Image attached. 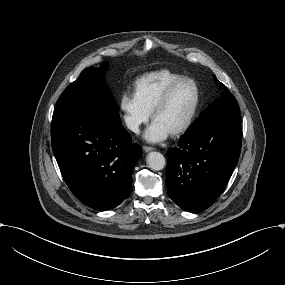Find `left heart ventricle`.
<instances>
[{
    "mask_svg": "<svg viewBox=\"0 0 285 285\" xmlns=\"http://www.w3.org/2000/svg\"><path fill=\"white\" fill-rule=\"evenodd\" d=\"M195 101L194 85L191 82H184L175 89L168 103L155 114L154 119L172 131L188 118Z\"/></svg>",
    "mask_w": 285,
    "mask_h": 285,
    "instance_id": "obj_1",
    "label": "left heart ventricle"
}]
</instances>
